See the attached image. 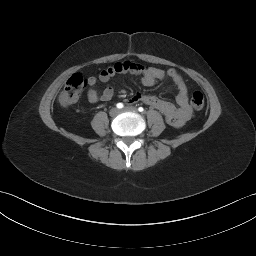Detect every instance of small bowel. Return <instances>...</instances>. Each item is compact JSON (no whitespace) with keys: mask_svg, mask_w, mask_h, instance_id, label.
<instances>
[{"mask_svg":"<svg viewBox=\"0 0 256 256\" xmlns=\"http://www.w3.org/2000/svg\"><path fill=\"white\" fill-rule=\"evenodd\" d=\"M119 73H130L132 75L140 76L142 85L151 87L158 81L163 80L165 77L169 78L171 82L177 87L176 104L170 101L160 99L154 95L136 93L129 100L128 103L135 104L142 102L148 106L157 109L163 114L166 121L179 127L188 121L191 117V109L188 104V88L180 75V73L170 68L164 71L160 68L144 65L139 62H117L108 68L100 71L98 80L101 82H108L113 76ZM97 83V78L91 76L88 78V85L90 86L87 99L90 103L95 104L100 101H109L114 95L112 87H106L101 92H98L94 87Z\"/></svg>","mask_w":256,"mask_h":256,"instance_id":"1","label":"small bowel"}]
</instances>
